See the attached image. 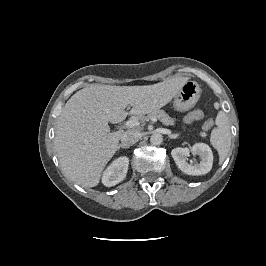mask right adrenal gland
Here are the masks:
<instances>
[{
    "mask_svg": "<svg viewBox=\"0 0 266 266\" xmlns=\"http://www.w3.org/2000/svg\"><path fill=\"white\" fill-rule=\"evenodd\" d=\"M121 148H122V149H128L127 146H124V145L120 144V145L118 146V148H117V151H119Z\"/></svg>",
    "mask_w": 266,
    "mask_h": 266,
    "instance_id": "2a0ac1e0",
    "label": "right adrenal gland"
}]
</instances>
